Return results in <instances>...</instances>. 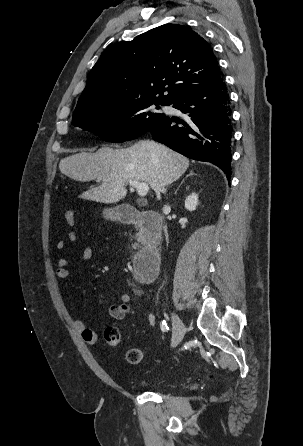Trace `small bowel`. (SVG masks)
I'll return each mask as SVG.
<instances>
[{"instance_id": "small-bowel-1", "label": "small bowel", "mask_w": 303, "mask_h": 446, "mask_svg": "<svg viewBox=\"0 0 303 446\" xmlns=\"http://www.w3.org/2000/svg\"><path fill=\"white\" fill-rule=\"evenodd\" d=\"M77 241V234L73 231L67 233V241L61 240L56 244L58 250H65L68 246V243H75ZM93 256V249L91 246H85L80 255V262L89 261ZM72 263L65 259L60 258L57 262L56 269V278L59 282H64L68 279L70 275V268ZM135 293H139L135 291ZM131 297L129 294H121L119 296L120 303L114 304L109 308V315L117 320H122L125 317L133 314V308L130 306L129 302ZM66 312L69 316L72 317V311L69 307H66ZM148 324L151 326L155 325V317L152 313L147 315ZM74 328L79 332L83 341L89 345H97L99 342L98 336L96 333L90 329L85 322L81 319L73 318Z\"/></svg>"}]
</instances>
